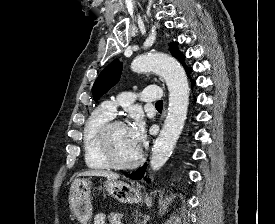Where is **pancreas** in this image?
<instances>
[{
    "instance_id": "obj_1",
    "label": "pancreas",
    "mask_w": 275,
    "mask_h": 224,
    "mask_svg": "<svg viewBox=\"0 0 275 224\" xmlns=\"http://www.w3.org/2000/svg\"><path fill=\"white\" fill-rule=\"evenodd\" d=\"M121 213H110L108 217L109 224H121Z\"/></svg>"
}]
</instances>
